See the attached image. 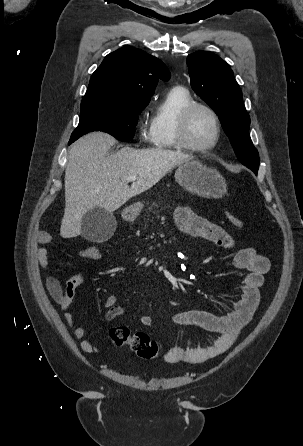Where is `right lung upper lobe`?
<instances>
[{"label": "right lung upper lobe", "mask_w": 303, "mask_h": 446, "mask_svg": "<svg viewBox=\"0 0 303 446\" xmlns=\"http://www.w3.org/2000/svg\"><path fill=\"white\" fill-rule=\"evenodd\" d=\"M170 72L156 57L125 46L108 54L90 79L81 106L146 105L158 79L167 81Z\"/></svg>", "instance_id": "cb5924a9"}]
</instances>
